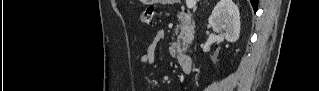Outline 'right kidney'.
Segmentation results:
<instances>
[{"label": "right kidney", "instance_id": "obj_1", "mask_svg": "<svg viewBox=\"0 0 319 91\" xmlns=\"http://www.w3.org/2000/svg\"><path fill=\"white\" fill-rule=\"evenodd\" d=\"M213 31L225 36L229 42H235L240 34V14L238 6L232 0H220L208 19Z\"/></svg>", "mask_w": 319, "mask_h": 91}]
</instances>
